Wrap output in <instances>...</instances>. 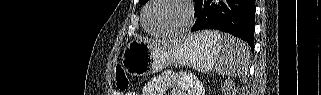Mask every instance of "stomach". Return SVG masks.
<instances>
[{"label": "stomach", "instance_id": "obj_1", "mask_svg": "<svg viewBox=\"0 0 321 95\" xmlns=\"http://www.w3.org/2000/svg\"><path fill=\"white\" fill-rule=\"evenodd\" d=\"M222 49V42L205 32L189 35L169 49L134 39L122 53V66L134 76L159 72L169 65L190 66L200 72H210L216 68Z\"/></svg>", "mask_w": 321, "mask_h": 95}]
</instances>
